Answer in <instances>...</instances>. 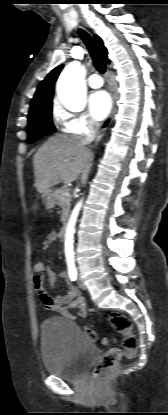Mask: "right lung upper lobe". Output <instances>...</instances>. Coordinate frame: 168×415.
<instances>
[{
	"label": "right lung upper lobe",
	"mask_w": 168,
	"mask_h": 415,
	"mask_svg": "<svg viewBox=\"0 0 168 415\" xmlns=\"http://www.w3.org/2000/svg\"><path fill=\"white\" fill-rule=\"evenodd\" d=\"M94 39L106 62L109 63V60L107 58V49L104 47L101 38L97 35H94ZM62 68L63 65L54 68L40 83L31 101L30 111H33L48 104H52L54 84Z\"/></svg>",
	"instance_id": "obj_1"
}]
</instances>
